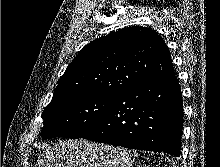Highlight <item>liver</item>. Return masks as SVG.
<instances>
[{
    "label": "liver",
    "instance_id": "1",
    "mask_svg": "<svg viewBox=\"0 0 220 167\" xmlns=\"http://www.w3.org/2000/svg\"><path fill=\"white\" fill-rule=\"evenodd\" d=\"M36 167H130L135 152L86 140L46 145Z\"/></svg>",
    "mask_w": 220,
    "mask_h": 167
}]
</instances>
